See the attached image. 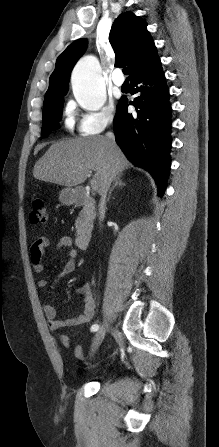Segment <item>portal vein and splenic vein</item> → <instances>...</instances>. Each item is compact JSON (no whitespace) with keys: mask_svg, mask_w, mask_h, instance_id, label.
<instances>
[{"mask_svg":"<svg viewBox=\"0 0 219 447\" xmlns=\"http://www.w3.org/2000/svg\"><path fill=\"white\" fill-rule=\"evenodd\" d=\"M91 188H92V190H94V191L97 190V188H98V187H97V182H96V180H94V179L91 181Z\"/></svg>","mask_w":219,"mask_h":447,"instance_id":"1","label":"portal vein and splenic vein"}]
</instances>
